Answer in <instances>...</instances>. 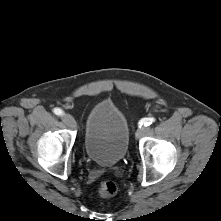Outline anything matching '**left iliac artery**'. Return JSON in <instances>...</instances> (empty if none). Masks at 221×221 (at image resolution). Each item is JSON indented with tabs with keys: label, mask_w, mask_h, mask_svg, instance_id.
<instances>
[{
	"label": "left iliac artery",
	"mask_w": 221,
	"mask_h": 221,
	"mask_svg": "<svg viewBox=\"0 0 221 221\" xmlns=\"http://www.w3.org/2000/svg\"><path fill=\"white\" fill-rule=\"evenodd\" d=\"M153 122H155V118H143L141 119V126L144 125V126H149L151 125Z\"/></svg>",
	"instance_id": "left-iliac-artery-1"
}]
</instances>
